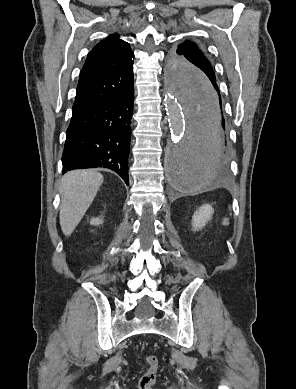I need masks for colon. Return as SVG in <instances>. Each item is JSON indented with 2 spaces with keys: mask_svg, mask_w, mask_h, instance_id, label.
<instances>
[{
  "mask_svg": "<svg viewBox=\"0 0 296 389\" xmlns=\"http://www.w3.org/2000/svg\"><path fill=\"white\" fill-rule=\"evenodd\" d=\"M148 368L141 376L139 381L140 389H151L156 380L158 369V359L156 356L148 355L144 358Z\"/></svg>",
  "mask_w": 296,
  "mask_h": 389,
  "instance_id": "obj_1",
  "label": "colon"
}]
</instances>
